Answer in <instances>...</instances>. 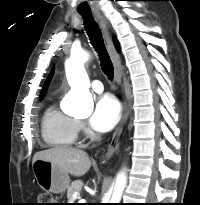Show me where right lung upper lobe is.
Instances as JSON below:
<instances>
[{"instance_id": "1", "label": "right lung upper lobe", "mask_w": 200, "mask_h": 205, "mask_svg": "<svg viewBox=\"0 0 200 205\" xmlns=\"http://www.w3.org/2000/svg\"><path fill=\"white\" fill-rule=\"evenodd\" d=\"M114 43H115V46L118 48L119 47L118 41L114 40ZM52 75H53V71L50 73L49 77L47 78V80H46V82H45V84L43 86V89H42L41 94H40V98L44 97V95H45V93L47 91L48 84H49V82H50V80L52 78Z\"/></svg>"}]
</instances>
